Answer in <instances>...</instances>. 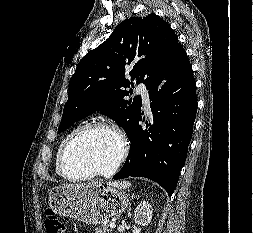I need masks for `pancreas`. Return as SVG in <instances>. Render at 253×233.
<instances>
[{"label":"pancreas","instance_id":"1","mask_svg":"<svg viewBox=\"0 0 253 233\" xmlns=\"http://www.w3.org/2000/svg\"><path fill=\"white\" fill-rule=\"evenodd\" d=\"M111 231L112 230L109 228V224H104L94 229L95 233H111Z\"/></svg>","mask_w":253,"mask_h":233}]
</instances>
